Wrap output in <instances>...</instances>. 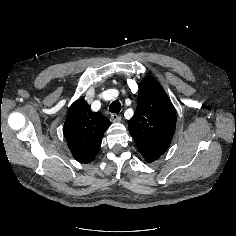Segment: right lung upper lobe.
<instances>
[{"instance_id":"cb5924a9","label":"right lung upper lobe","mask_w":236,"mask_h":236,"mask_svg":"<svg viewBox=\"0 0 236 236\" xmlns=\"http://www.w3.org/2000/svg\"><path fill=\"white\" fill-rule=\"evenodd\" d=\"M109 124V119L92 112L85 100L78 99L71 105L64 123V136L77 161L89 163L93 160Z\"/></svg>"}]
</instances>
